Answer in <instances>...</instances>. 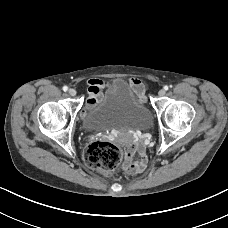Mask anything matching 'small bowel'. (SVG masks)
Segmentation results:
<instances>
[{
	"mask_svg": "<svg viewBox=\"0 0 228 228\" xmlns=\"http://www.w3.org/2000/svg\"><path fill=\"white\" fill-rule=\"evenodd\" d=\"M129 83L134 87L136 93L140 98L144 95V88L140 80L130 79ZM88 95L86 98V108H90L97 102L98 97L101 95L107 83L102 79H90L88 81ZM138 150L139 159L135 160V152ZM147 153L142 147L136 145H129L126 148L124 169L129 174L142 173L147 167Z\"/></svg>",
	"mask_w": 228,
	"mask_h": 228,
	"instance_id": "c3829d8e",
	"label": "small bowel"
}]
</instances>
